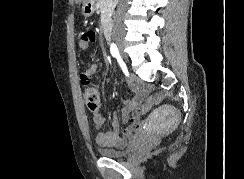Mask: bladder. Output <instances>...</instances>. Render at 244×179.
Instances as JSON below:
<instances>
[{"instance_id": "31cf9c89", "label": "bladder", "mask_w": 244, "mask_h": 179, "mask_svg": "<svg viewBox=\"0 0 244 179\" xmlns=\"http://www.w3.org/2000/svg\"><path fill=\"white\" fill-rule=\"evenodd\" d=\"M125 151H118V150H113V149H106V148H100L99 149V154L103 157H108V158H111V157H120V156H123L125 155Z\"/></svg>"}]
</instances>
